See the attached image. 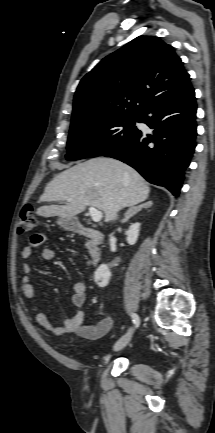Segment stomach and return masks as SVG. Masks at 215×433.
I'll list each match as a JSON object with an SVG mask.
<instances>
[{"label": "stomach", "mask_w": 215, "mask_h": 433, "mask_svg": "<svg viewBox=\"0 0 215 433\" xmlns=\"http://www.w3.org/2000/svg\"><path fill=\"white\" fill-rule=\"evenodd\" d=\"M57 224L64 228L65 230H73L75 225H74V219H68V218H59L57 220Z\"/></svg>", "instance_id": "stomach-1"}]
</instances>
